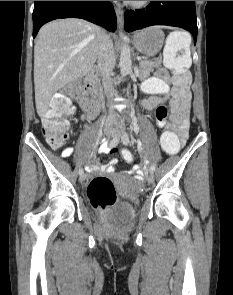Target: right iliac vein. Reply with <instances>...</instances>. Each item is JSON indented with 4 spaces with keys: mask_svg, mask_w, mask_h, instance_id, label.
I'll return each mask as SVG.
<instances>
[{
    "mask_svg": "<svg viewBox=\"0 0 233 295\" xmlns=\"http://www.w3.org/2000/svg\"><path fill=\"white\" fill-rule=\"evenodd\" d=\"M115 133V130H114V128L112 127V126H106L105 128H104V134L106 135V136H111V135H113ZM85 179H86V174H83V175H81L80 176V178H79V180H80V182H83V181H85Z\"/></svg>",
    "mask_w": 233,
    "mask_h": 295,
    "instance_id": "right-iliac-vein-1",
    "label": "right iliac vein"
}]
</instances>
